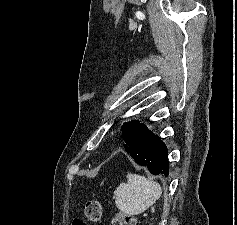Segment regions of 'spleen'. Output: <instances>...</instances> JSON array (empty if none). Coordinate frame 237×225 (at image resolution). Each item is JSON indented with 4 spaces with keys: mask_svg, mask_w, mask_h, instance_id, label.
<instances>
[{
    "mask_svg": "<svg viewBox=\"0 0 237 225\" xmlns=\"http://www.w3.org/2000/svg\"><path fill=\"white\" fill-rule=\"evenodd\" d=\"M161 194L162 188L158 182L137 174H128L127 183L120 184L114 191L117 208L128 215L143 213Z\"/></svg>",
    "mask_w": 237,
    "mask_h": 225,
    "instance_id": "obj_1",
    "label": "spleen"
}]
</instances>
